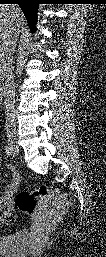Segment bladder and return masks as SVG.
<instances>
[{"instance_id":"obj_1","label":"bladder","mask_w":106,"mask_h":257,"mask_svg":"<svg viewBox=\"0 0 106 257\" xmlns=\"http://www.w3.org/2000/svg\"><path fill=\"white\" fill-rule=\"evenodd\" d=\"M30 243V234L19 231L0 238V254L3 257H24Z\"/></svg>"}]
</instances>
